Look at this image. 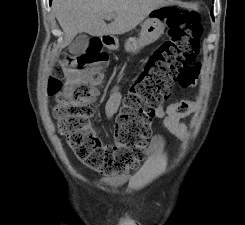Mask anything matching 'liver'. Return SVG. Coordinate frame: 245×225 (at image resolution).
<instances>
[{"mask_svg":"<svg viewBox=\"0 0 245 225\" xmlns=\"http://www.w3.org/2000/svg\"><path fill=\"white\" fill-rule=\"evenodd\" d=\"M165 0H54L52 10L63 30L61 47L69 45L78 33L92 36L118 35L131 31ZM114 14L106 24L104 17Z\"/></svg>","mask_w":245,"mask_h":225,"instance_id":"liver-1","label":"liver"}]
</instances>
